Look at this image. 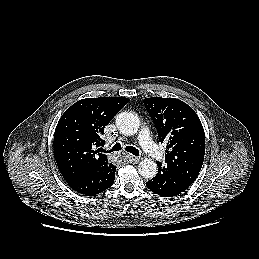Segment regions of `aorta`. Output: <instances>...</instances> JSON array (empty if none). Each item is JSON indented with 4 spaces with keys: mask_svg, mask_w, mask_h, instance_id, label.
<instances>
[{
    "mask_svg": "<svg viewBox=\"0 0 259 259\" xmlns=\"http://www.w3.org/2000/svg\"><path fill=\"white\" fill-rule=\"evenodd\" d=\"M117 128L120 133L132 136L138 132L140 121L136 114L132 112H121L115 119ZM139 174L146 178L151 179L157 174V164L151 159L145 158L138 165Z\"/></svg>",
    "mask_w": 259,
    "mask_h": 259,
    "instance_id": "1",
    "label": "aorta"
}]
</instances>
